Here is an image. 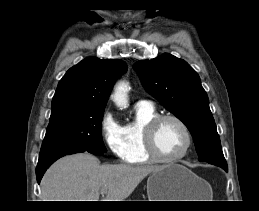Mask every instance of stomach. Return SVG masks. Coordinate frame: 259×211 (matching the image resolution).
<instances>
[{"mask_svg": "<svg viewBox=\"0 0 259 211\" xmlns=\"http://www.w3.org/2000/svg\"><path fill=\"white\" fill-rule=\"evenodd\" d=\"M149 201H206L210 185L188 168L168 164L151 173L147 181Z\"/></svg>", "mask_w": 259, "mask_h": 211, "instance_id": "stomach-1", "label": "stomach"}]
</instances>
